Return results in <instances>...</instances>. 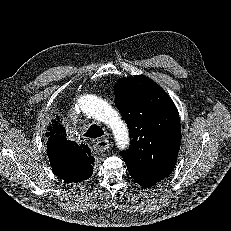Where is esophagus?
I'll return each instance as SVG.
<instances>
[{
	"mask_svg": "<svg viewBox=\"0 0 231 231\" xmlns=\"http://www.w3.org/2000/svg\"><path fill=\"white\" fill-rule=\"evenodd\" d=\"M109 145L110 143L107 139H98L95 143V149L104 152L109 148Z\"/></svg>",
	"mask_w": 231,
	"mask_h": 231,
	"instance_id": "34e87169",
	"label": "esophagus"
}]
</instances>
